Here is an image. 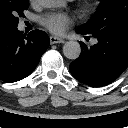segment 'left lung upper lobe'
I'll use <instances>...</instances> for the list:
<instances>
[{
  "label": "left lung upper lobe",
  "mask_w": 128,
  "mask_h": 128,
  "mask_svg": "<svg viewBox=\"0 0 128 128\" xmlns=\"http://www.w3.org/2000/svg\"><path fill=\"white\" fill-rule=\"evenodd\" d=\"M81 29L98 35L128 31V0H100L96 14Z\"/></svg>",
  "instance_id": "1"
}]
</instances>
